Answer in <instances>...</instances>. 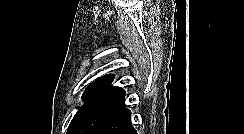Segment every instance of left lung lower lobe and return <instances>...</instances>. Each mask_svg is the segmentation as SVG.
<instances>
[{
    "instance_id": "1",
    "label": "left lung lower lobe",
    "mask_w": 244,
    "mask_h": 134,
    "mask_svg": "<svg viewBox=\"0 0 244 134\" xmlns=\"http://www.w3.org/2000/svg\"><path fill=\"white\" fill-rule=\"evenodd\" d=\"M94 134H137L132 127L131 111L122 108L103 122Z\"/></svg>"
}]
</instances>
